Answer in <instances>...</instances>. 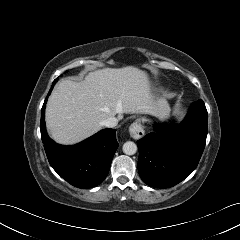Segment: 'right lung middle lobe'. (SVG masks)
<instances>
[{
	"mask_svg": "<svg viewBox=\"0 0 240 240\" xmlns=\"http://www.w3.org/2000/svg\"><path fill=\"white\" fill-rule=\"evenodd\" d=\"M57 79H58V78H57ZM57 79H56V80H54V82H53V85L56 83ZM53 85H52V86H53Z\"/></svg>",
	"mask_w": 240,
	"mask_h": 240,
	"instance_id": "right-lung-middle-lobe-1",
	"label": "right lung middle lobe"
}]
</instances>
